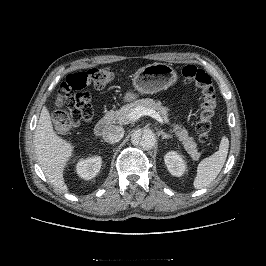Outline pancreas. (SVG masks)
<instances>
[{"label":"pancreas","mask_w":266,"mask_h":266,"mask_svg":"<svg viewBox=\"0 0 266 266\" xmlns=\"http://www.w3.org/2000/svg\"><path fill=\"white\" fill-rule=\"evenodd\" d=\"M137 106H143L145 108H150L157 111L164 117L165 121L169 123L168 108L163 106L160 102H155L150 98L135 100L132 103L122 106L117 111H110L109 115L111 120L117 121L120 124H128L132 122L130 119V113ZM172 126V132L175 133V135L178 137V140L182 142L186 152L194 161H197L201 155L198 152L197 144L195 143L194 139L188 135V131L181 125Z\"/></svg>","instance_id":"pancreas-1"}]
</instances>
